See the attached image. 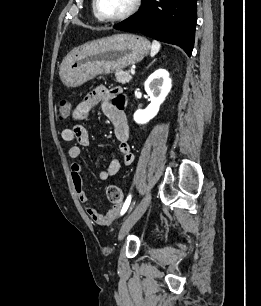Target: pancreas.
I'll list each match as a JSON object with an SVG mask.
<instances>
[{
	"instance_id": "1",
	"label": "pancreas",
	"mask_w": 261,
	"mask_h": 306,
	"mask_svg": "<svg viewBox=\"0 0 261 306\" xmlns=\"http://www.w3.org/2000/svg\"><path fill=\"white\" fill-rule=\"evenodd\" d=\"M115 77L117 82L121 84H126L132 79V76L128 71H122V70L116 71Z\"/></svg>"
}]
</instances>
